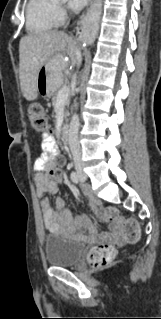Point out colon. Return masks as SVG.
<instances>
[{"mask_svg": "<svg viewBox=\"0 0 161 319\" xmlns=\"http://www.w3.org/2000/svg\"><path fill=\"white\" fill-rule=\"evenodd\" d=\"M28 118L34 130L37 132L48 134L52 132V126L44 115V109L40 104H32L27 110ZM54 145V142L52 143ZM65 165V160L60 158L56 162L55 168L51 169V174L59 175L62 172V168ZM105 216L108 219L117 221L122 224L124 229L125 239L129 242L137 241L140 238L139 225L134 219L120 220L117 217V212L115 209H108L105 211ZM117 252L116 249L109 244H98L92 247L88 253V262L91 266L107 267L112 265L115 261Z\"/></svg>", "mask_w": 161, "mask_h": 319, "instance_id": "1", "label": "colon"}]
</instances>
